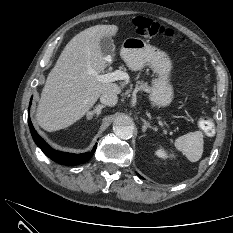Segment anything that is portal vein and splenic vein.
Returning <instances> with one entry per match:
<instances>
[{"label": "portal vein and splenic vein", "mask_w": 233, "mask_h": 233, "mask_svg": "<svg viewBox=\"0 0 233 233\" xmlns=\"http://www.w3.org/2000/svg\"><path fill=\"white\" fill-rule=\"evenodd\" d=\"M88 74L95 76L97 81L103 82V83L114 82L118 80H128L127 73L120 71V70H116L114 72L107 73V74H101V75L93 70H89Z\"/></svg>", "instance_id": "obj_1"}]
</instances>
